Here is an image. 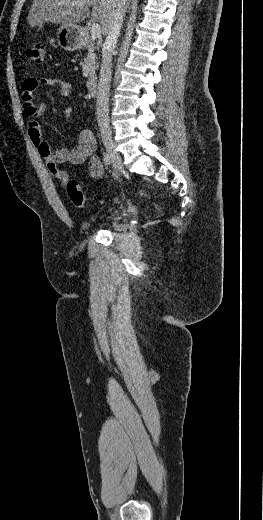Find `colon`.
Returning a JSON list of instances; mask_svg holds the SVG:
<instances>
[{
  "instance_id": "colon-1",
  "label": "colon",
  "mask_w": 263,
  "mask_h": 520,
  "mask_svg": "<svg viewBox=\"0 0 263 520\" xmlns=\"http://www.w3.org/2000/svg\"><path fill=\"white\" fill-rule=\"evenodd\" d=\"M26 56L34 63L42 64L45 58V45L41 42L35 43L26 50ZM65 184L67 194L72 203L77 207H83L86 204V199L79 183L74 179H68Z\"/></svg>"
}]
</instances>
